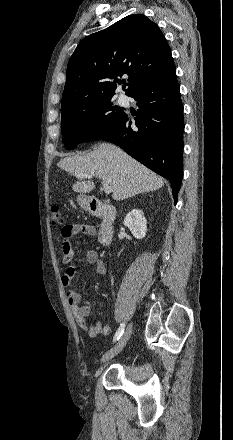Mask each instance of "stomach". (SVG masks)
Listing matches in <instances>:
<instances>
[{"label": "stomach", "instance_id": "obj_1", "mask_svg": "<svg viewBox=\"0 0 233 440\" xmlns=\"http://www.w3.org/2000/svg\"><path fill=\"white\" fill-rule=\"evenodd\" d=\"M77 203L85 210H89L90 208V197L85 195H79L77 197Z\"/></svg>", "mask_w": 233, "mask_h": 440}]
</instances>
